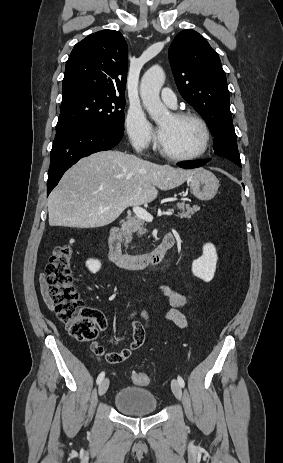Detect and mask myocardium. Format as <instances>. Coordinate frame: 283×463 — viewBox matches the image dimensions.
<instances>
[{"label":"myocardium","instance_id":"f54148a6","mask_svg":"<svg viewBox=\"0 0 283 463\" xmlns=\"http://www.w3.org/2000/svg\"><path fill=\"white\" fill-rule=\"evenodd\" d=\"M171 116L175 120L190 119V120H194L195 122H197L199 124V126L201 127L202 132H203L202 146L199 149V151H197L196 153H193V154H190V155H176V154H172V153L166 151L159 144L158 145L159 153L163 157H165V158H167L169 160L177 161V162H188V161H193V160L201 158L207 152V150L209 148V145H210V140H211L210 129H209V126H208L207 122L205 121V119L201 115H199V114H197L195 112H192V111L174 112V113L171 114Z\"/></svg>","mask_w":283,"mask_h":463}]
</instances>
